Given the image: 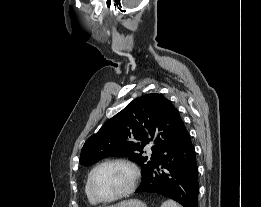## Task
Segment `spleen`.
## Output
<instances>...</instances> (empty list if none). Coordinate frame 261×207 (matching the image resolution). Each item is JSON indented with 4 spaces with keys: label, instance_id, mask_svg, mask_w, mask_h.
I'll return each instance as SVG.
<instances>
[{
    "label": "spleen",
    "instance_id": "3e777b00",
    "mask_svg": "<svg viewBox=\"0 0 261 207\" xmlns=\"http://www.w3.org/2000/svg\"><path fill=\"white\" fill-rule=\"evenodd\" d=\"M161 207H181L180 205H178L175 201L173 200H167L165 201Z\"/></svg>",
    "mask_w": 261,
    "mask_h": 207
}]
</instances>
